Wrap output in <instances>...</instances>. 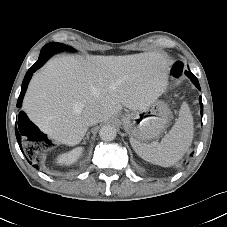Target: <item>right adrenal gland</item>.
<instances>
[{
	"instance_id": "2a0ac1e0",
	"label": "right adrenal gland",
	"mask_w": 227,
	"mask_h": 227,
	"mask_svg": "<svg viewBox=\"0 0 227 227\" xmlns=\"http://www.w3.org/2000/svg\"><path fill=\"white\" fill-rule=\"evenodd\" d=\"M87 138H88V134H87ZM85 143V141L83 142V144Z\"/></svg>"
}]
</instances>
